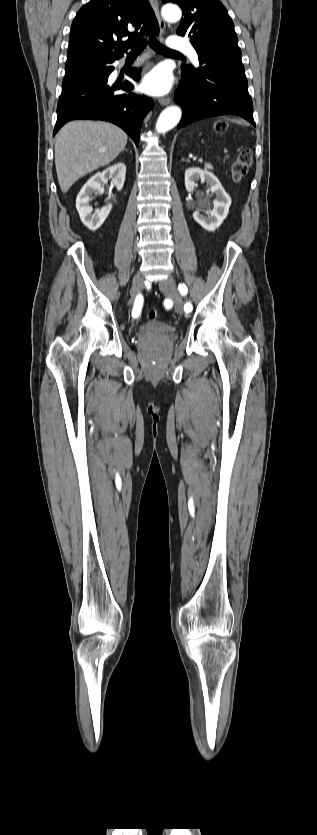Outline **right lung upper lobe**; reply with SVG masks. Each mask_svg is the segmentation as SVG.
<instances>
[{
    "mask_svg": "<svg viewBox=\"0 0 317 835\" xmlns=\"http://www.w3.org/2000/svg\"><path fill=\"white\" fill-rule=\"evenodd\" d=\"M158 32L154 12L145 0H90L73 20L68 56L97 53L104 59L122 57L138 38Z\"/></svg>",
    "mask_w": 317,
    "mask_h": 835,
    "instance_id": "cb5924a9",
    "label": "right lung upper lobe"
}]
</instances>
